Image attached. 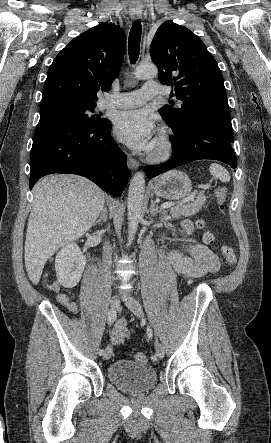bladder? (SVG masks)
<instances>
[{"instance_id":"1","label":"bladder","mask_w":271,"mask_h":443,"mask_svg":"<svg viewBox=\"0 0 271 443\" xmlns=\"http://www.w3.org/2000/svg\"><path fill=\"white\" fill-rule=\"evenodd\" d=\"M110 382L127 393H142L152 389L157 382L154 368L131 360L114 361L107 369Z\"/></svg>"}]
</instances>
